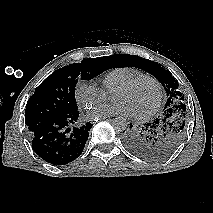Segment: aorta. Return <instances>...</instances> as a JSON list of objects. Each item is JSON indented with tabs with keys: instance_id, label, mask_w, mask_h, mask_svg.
<instances>
[{
	"instance_id": "obj_1",
	"label": "aorta",
	"mask_w": 213,
	"mask_h": 213,
	"mask_svg": "<svg viewBox=\"0 0 213 213\" xmlns=\"http://www.w3.org/2000/svg\"><path fill=\"white\" fill-rule=\"evenodd\" d=\"M112 126L116 132L125 131L128 127V122L123 117H116L112 121Z\"/></svg>"
}]
</instances>
